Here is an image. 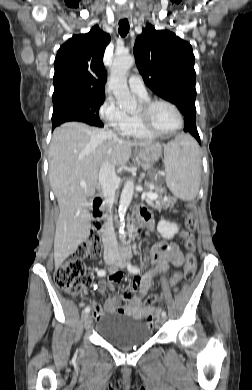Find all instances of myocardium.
<instances>
[{
    "label": "myocardium",
    "mask_w": 252,
    "mask_h": 390,
    "mask_svg": "<svg viewBox=\"0 0 252 390\" xmlns=\"http://www.w3.org/2000/svg\"><path fill=\"white\" fill-rule=\"evenodd\" d=\"M158 104H166L170 106L176 113L177 118H178V124L177 126L169 131H160L154 128V126L151 123L150 120V114L154 107ZM140 127L148 134L154 136V137H162V136H168V135H173L177 133L183 126L184 119L183 115L180 111V109L175 105L173 102L166 100V99H153V100H148L147 102H144L142 106V113L138 114L136 116Z\"/></svg>",
    "instance_id": "1"
}]
</instances>
